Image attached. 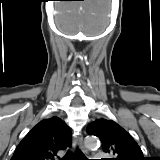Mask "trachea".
Segmentation results:
<instances>
[{
  "mask_svg": "<svg viewBox=\"0 0 160 160\" xmlns=\"http://www.w3.org/2000/svg\"><path fill=\"white\" fill-rule=\"evenodd\" d=\"M63 160H86V157L84 156V154L78 149L76 154H75V158L73 156V154H71L70 152H67L65 157L63 158Z\"/></svg>",
  "mask_w": 160,
  "mask_h": 160,
  "instance_id": "trachea-1",
  "label": "trachea"
}]
</instances>
